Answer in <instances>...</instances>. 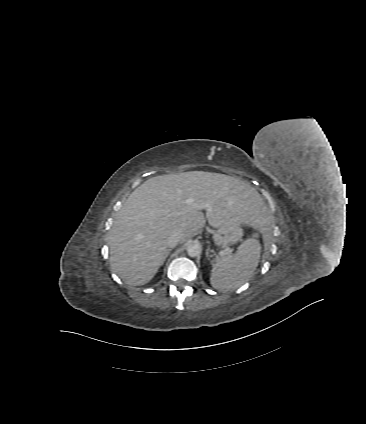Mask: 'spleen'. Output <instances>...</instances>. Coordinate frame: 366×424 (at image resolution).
I'll list each match as a JSON object with an SVG mask.
<instances>
[{
	"label": "spleen",
	"mask_w": 366,
	"mask_h": 424,
	"mask_svg": "<svg viewBox=\"0 0 366 424\" xmlns=\"http://www.w3.org/2000/svg\"><path fill=\"white\" fill-rule=\"evenodd\" d=\"M256 235L246 239L236 253L222 255L212 264L210 283L215 289L233 291L254 275L261 254Z\"/></svg>",
	"instance_id": "spleen-1"
}]
</instances>
